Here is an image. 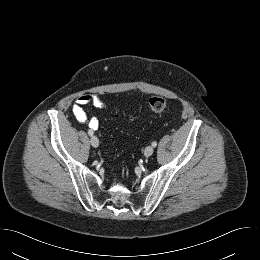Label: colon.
Returning a JSON list of instances; mask_svg holds the SVG:
<instances>
[{
    "instance_id": "1",
    "label": "colon",
    "mask_w": 260,
    "mask_h": 260,
    "mask_svg": "<svg viewBox=\"0 0 260 260\" xmlns=\"http://www.w3.org/2000/svg\"><path fill=\"white\" fill-rule=\"evenodd\" d=\"M167 102L163 97H152L148 102V107L153 113H161L166 109Z\"/></svg>"
}]
</instances>
